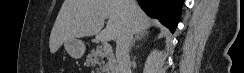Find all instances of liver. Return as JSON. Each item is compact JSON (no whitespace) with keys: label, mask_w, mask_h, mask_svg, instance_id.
I'll list each match as a JSON object with an SVG mask.
<instances>
[{"label":"liver","mask_w":244,"mask_h":73,"mask_svg":"<svg viewBox=\"0 0 244 73\" xmlns=\"http://www.w3.org/2000/svg\"><path fill=\"white\" fill-rule=\"evenodd\" d=\"M125 0H65L51 31L49 47L56 53L68 40L96 36L99 41L116 40L125 21ZM134 33L142 35L150 19L135 2ZM105 19H108L103 29Z\"/></svg>","instance_id":"6515ba94"}]
</instances>
